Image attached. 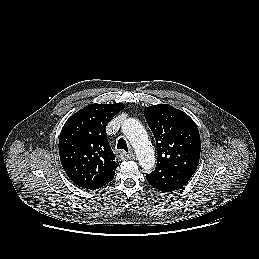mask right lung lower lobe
Returning <instances> with one entry per match:
<instances>
[{
    "instance_id": "right-lung-lower-lobe-1",
    "label": "right lung lower lobe",
    "mask_w": 259,
    "mask_h": 259,
    "mask_svg": "<svg viewBox=\"0 0 259 259\" xmlns=\"http://www.w3.org/2000/svg\"><path fill=\"white\" fill-rule=\"evenodd\" d=\"M114 177V176H113ZM113 177H111L110 179L106 180L104 183L92 188V190H95V189H98V188H101L103 187L104 185L108 184L110 181H112Z\"/></svg>"
}]
</instances>
